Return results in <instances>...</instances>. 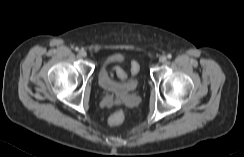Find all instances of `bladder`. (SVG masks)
<instances>
[{
    "mask_svg": "<svg viewBox=\"0 0 244 157\" xmlns=\"http://www.w3.org/2000/svg\"><path fill=\"white\" fill-rule=\"evenodd\" d=\"M115 59L116 57H109L101 63L98 71V82L106 93L123 98L137 89L138 80L136 77L127 78L122 82L114 80L109 74L108 67Z\"/></svg>",
    "mask_w": 244,
    "mask_h": 157,
    "instance_id": "bladder-1",
    "label": "bladder"
}]
</instances>
